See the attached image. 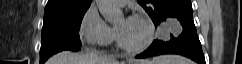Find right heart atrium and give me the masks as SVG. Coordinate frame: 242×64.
<instances>
[{
	"instance_id": "d8ad5b80",
	"label": "right heart atrium",
	"mask_w": 242,
	"mask_h": 64,
	"mask_svg": "<svg viewBox=\"0 0 242 64\" xmlns=\"http://www.w3.org/2000/svg\"><path fill=\"white\" fill-rule=\"evenodd\" d=\"M78 34L85 44L91 46L109 45L116 36L114 29L101 18L94 6H90L83 14Z\"/></svg>"
}]
</instances>
